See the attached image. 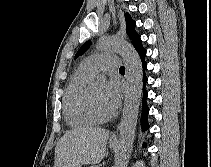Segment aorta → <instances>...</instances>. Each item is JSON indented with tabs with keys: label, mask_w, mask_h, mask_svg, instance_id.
<instances>
[{
	"label": "aorta",
	"mask_w": 211,
	"mask_h": 167,
	"mask_svg": "<svg viewBox=\"0 0 211 167\" xmlns=\"http://www.w3.org/2000/svg\"><path fill=\"white\" fill-rule=\"evenodd\" d=\"M101 51H112L122 55L126 67L128 82L123 116L120 124L119 152L116 157V167H126L132 152L135 129L138 119L142 92V63L134 47L125 40L114 36H104L99 40ZM104 76H98L96 83L104 84Z\"/></svg>",
	"instance_id": "762f6f07"
}]
</instances>
